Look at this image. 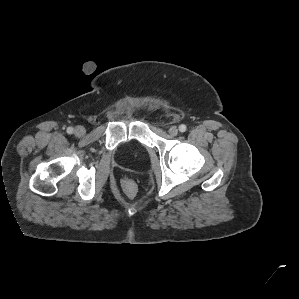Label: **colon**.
<instances>
[{
	"label": "colon",
	"mask_w": 299,
	"mask_h": 299,
	"mask_svg": "<svg viewBox=\"0 0 299 299\" xmlns=\"http://www.w3.org/2000/svg\"><path fill=\"white\" fill-rule=\"evenodd\" d=\"M121 187L129 197H134L137 192L135 181L130 177H124L121 181Z\"/></svg>",
	"instance_id": "obj_1"
}]
</instances>
